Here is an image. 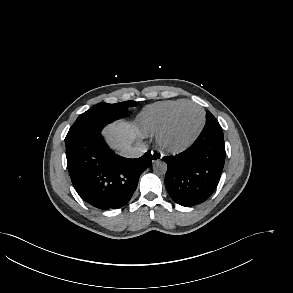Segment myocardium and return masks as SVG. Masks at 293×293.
Returning <instances> with one entry per match:
<instances>
[{
  "instance_id": "myocardium-1",
  "label": "myocardium",
  "mask_w": 293,
  "mask_h": 293,
  "mask_svg": "<svg viewBox=\"0 0 293 293\" xmlns=\"http://www.w3.org/2000/svg\"><path fill=\"white\" fill-rule=\"evenodd\" d=\"M188 106H192V107H196L201 111L202 114V120H201V124L197 130V132L194 134V136L185 144L181 145V146H177V147H173V146H169L166 141V135L169 132L176 116L178 115V113L185 107ZM206 125V112L204 110V108L200 105H198L197 103L194 102H185L179 106H177L175 109H173V111L170 113V115L168 116L166 122L164 123V125L161 127V129L156 133V145L157 148L159 149V151L166 153V154H171V155H176V154H180L185 152L186 150H188L200 137L201 133L203 132V129Z\"/></svg>"
}]
</instances>
